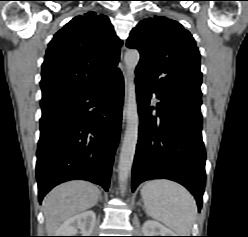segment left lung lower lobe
<instances>
[{
	"label": "left lung lower lobe",
	"instance_id": "0a47b994",
	"mask_svg": "<svg viewBox=\"0 0 248 237\" xmlns=\"http://www.w3.org/2000/svg\"><path fill=\"white\" fill-rule=\"evenodd\" d=\"M155 92L160 102L150 107ZM139 139L132 169V191L150 179H170L182 184L202 206L205 187V149L201 136V99L163 97L136 79ZM156 109L158 116L151 110Z\"/></svg>",
	"mask_w": 248,
	"mask_h": 237
}]
</instances>
